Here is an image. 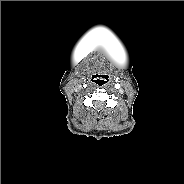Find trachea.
Instances as JSON below:
<instances>
[{
    "label": "trachea",
    "mask_w": 184,
    "mask_h": 184,
    "mask_svg": "<svg viewBox=\"0 0 184 184\" xmlns=\"http://www.w3.org/2000/svg\"><path fill=\"white\" fill-rule=\"evenodd\" d=\"M94 82H95L97 85H99V86H103V85L106 83V81L101 80V79H97V80H95Z\"/></svg>",
    "instance_id": "3493384b"
}]
</instances>
